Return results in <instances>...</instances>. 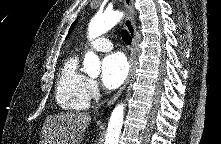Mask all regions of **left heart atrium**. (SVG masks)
I'll list each match as a JSON object with an SVG mask.
<instances>
[{
	"label": "left heart atrium",
	"instance_id": "39dd6f15",
	"mask_svg": "<svg viewBox=\"0 0 221 144\" xmlns=\"http://www.w3.org/2000/svg\"><path fill=\"white\" fill-rule=\"evenodd\" d=\"M128 64L121 53L107 55L102 61V83L107 89L119 87L126 79Z\"/></svg>",
	"mask_w": 221,
	"mask_h": 144
}]
</instances>
